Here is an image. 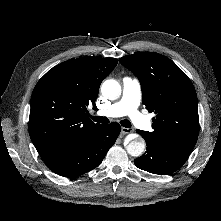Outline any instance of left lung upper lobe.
Returning <instances> with one entry per match:
<instances>
[{"label":"left lung upper lobe","instance_id":"1","mask_svg":"<svg viewBox=\"0 0 221 221\" xmlns=\"http://www.w3.org/2000/svg\"><path fill=\"white\" fill-rule=\"evenodd\" d=\"M119 62L138 77L142 102L156 114L153 131H141L145 141L191 153L199 134V117L190 79L173 61L155 52L127 55Z\"/></svg>","mask_w":221,"mask_h":221}]
</instances>
